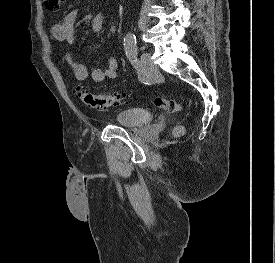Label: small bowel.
Returning a JSON list of instances; mask_svg holds the SVG:
<instances>
[{
    "mask_svg": "<svg viewBox=\"0 0 275 263\" xmlns=\"http://www.w3.org/2000/svg\"><path fill=\"white\" fill-rule=\"evenodd\" d=\"M78 16V10L69 12L60 22L52 26L53 37L61 42L72 44L75 41L74 25ZM106 17L103 14H96L92 17L90 27L92 32L99 33L105 24ZM65 61L71 69L74 77L79 81H85L89 77L100 82L105 79H115L118 74V62L114 57H107L104 68L94 67L88 69L84 64L74 59L71 53L65 54Z\"/></svg>",
    "mask_w": 275,
    "mask_h": 263,
    "instance_id": "small-bowel-1",
    "label": "small bowel"
}]
</instances>
